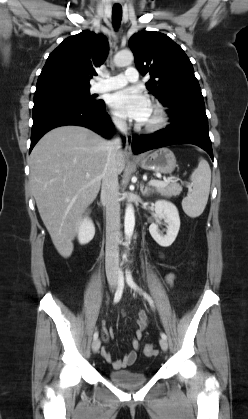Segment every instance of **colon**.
Segmentation results:
<instances>
[{"label":"colon","instance_id":"colon-1","mask_svg":"<svg viewBox=\"0 0 248 419\" xmlns=\"http://www.w3.org/2000/svg\"><path fill=\"white\" fill-rule=\"evenodd\" d=\"M155 353H156V350H155L153 344L148 343V344L145 345L144 354L146 356H153V355H155Z\"/></svg>","mask_w":248,"mask_h":419}]
</instances>
